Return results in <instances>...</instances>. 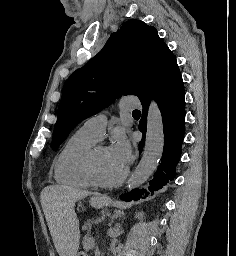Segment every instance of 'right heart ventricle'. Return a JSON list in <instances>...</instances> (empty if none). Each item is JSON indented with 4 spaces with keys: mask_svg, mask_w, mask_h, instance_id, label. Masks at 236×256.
<instances>
[{
    "mask_svg": "<svg viewBox=\"0 0 236 256\" xmlns=\"http://www.w3.org/2000/svg\"><path fill=\"white\" fill-rule=\"evenodd\" d=\"M96 140L78 130L66 143L55 161L56 182L73 188L93 187L89 157Z\"/></svg>",
    "mask_w": 236,
    "mask_h": 256,
    "instance_id": "right-heart-ventricle-1",
    "label": "right heart ventricle"
}]
</instances>
